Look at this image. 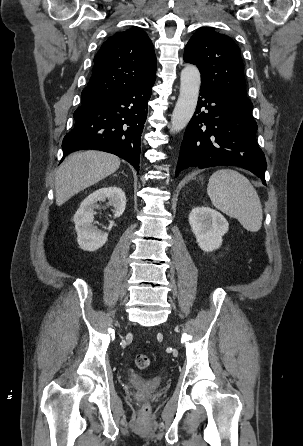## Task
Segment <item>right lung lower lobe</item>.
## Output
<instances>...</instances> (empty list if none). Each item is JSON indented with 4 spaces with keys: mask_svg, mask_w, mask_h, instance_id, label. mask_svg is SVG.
Returning a JSON list of instances; mask_svg holds the SVG:
<instances>
[{
    "mask_svg": "<svg viewBox=\"0 0 303 446\" xmlns=\"http://www.w3.org/2000/svg\"><path fill=\"white\" fill-rule=\"evenodd\" d=\"M154 82L83 102L73 114L74 128L63 139V158L83 149L100 150L125 159L139 171L141 133Z\"/></svg>",
    "mask_w": 303,
    "mask_h": 446,
    "instance_id": "98d812e1",
    "label": "right lung lower lobe"
}]
</instances>
